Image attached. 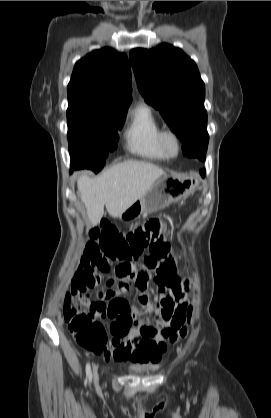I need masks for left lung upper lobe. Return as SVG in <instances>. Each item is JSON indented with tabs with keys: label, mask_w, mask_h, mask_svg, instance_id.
Listing matches in <instances>:
<instances>
[{
	"label": "left lung upper lobe",
	"mask_w": 271,
	"mask_h": 418,
	"mask_svg": "<svg viewBox=\"0 0 271 418\" xmlns=\"http://www.w3.org/2000/svg\"><path fill=\"white\" fill-rule=\"evenodd\" d=\"M130 59L140 93L182 141L183 154L205 160L209 140L205 86L195 62L165 43L151 50L133 49Z\"/></svg>",
	"instance_id": "obj_1"
}]
</instances>
